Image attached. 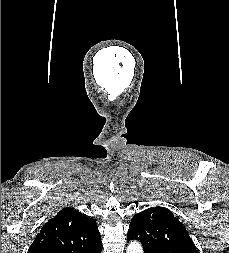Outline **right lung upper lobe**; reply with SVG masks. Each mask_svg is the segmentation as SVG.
Returning a JSON list of instances; mask_svg holds the SVG:
<instances>
[{"label":"right lung upper lobe","instance_id":"1","mask_svg":"<svg viewBox=\"0 0 229 253\" xmlns=\"http://www.w3.org/2000/svg\"><path fill=\"white\" fill-rule=\"evenodd\" d=\"M101 245L95 219L64 208L45 223L28 253H91Z\"/></svg>","mask_w":229,"mask_h":253}]
</instances>
